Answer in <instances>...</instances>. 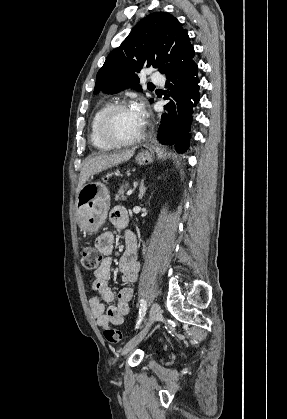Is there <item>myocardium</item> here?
I'll use <instances>...</instances> for the list:
<instances>
[{"instance_id":"myocardium-1","label":"myocardium","mask_w":287,"mask_h":419,"mask_svg":"<svg viewBox=\"0 0 287 419\" xmlns=\"http://www.w3.org/2000/svg\"><path fill=\"white\" fill-rule=\"evenodd\" d=\"M130 107L129 103L126 101L117 102L115 104L110 105L105 112L102 114L99 124H98V131L102 139L110 145L113 146H125V145H132L140 142L145 137V125L143 124V128L141 132L133 138L129 139H122L115 136L110 130V123L111 119L116 112L119 110L125 109Z\"/></svg>"}]
</instances>
